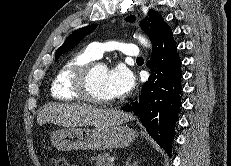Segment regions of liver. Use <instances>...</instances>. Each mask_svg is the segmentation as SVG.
Here are the masks:
<instances>
[{
	"label": "liver",
	"instance_id": "obj_1",
	"mask_svg": "<svg viewBox=\"0 0 231 166\" xmlns=\"http://www.w3.org/2000/svg\"><path fill=\"white\" fill-rule=\"evenodd\" d=\"M133 117L120 110H106L80 103H53L44 107L37 116L39 125L53 123L64 127L91 125L105 129L123 124Z\"/></svg>",
	"mask_w": 231,
	"mask_h": 166
}]
</instances>
